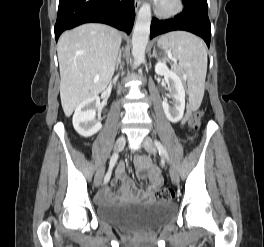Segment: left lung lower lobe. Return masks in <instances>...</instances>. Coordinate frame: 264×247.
Here are the masks:
<instances>
[{"instance_id": "obj_1", "label": "left lung lower lobe", "mask_w": 264, "mask_h": 247, "mask_svg": "<svg viewBox=\"0 0 264 247\" xmlns=\"http://www.w3.org/2000/svg\"><path fill=\"white\" fill-rule=\"evenodd\" d=\"M184 10L168 20L153 18L150 28V39L170 31L184 30L204 39L210 46L211 25L208 18L207 0H182Z\"/></svg>"}]
</instances>
